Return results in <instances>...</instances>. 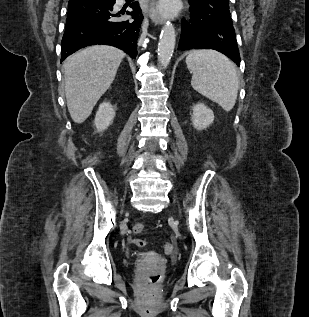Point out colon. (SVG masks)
<instances>
[{
	"instance_id": "5ec220e1",
	"label": "colon",
	"mask_w": 309,
	"mask_h": 317,
	"mask_svg": "<svg viewBox=\"0 0 309 317\" xmlns=\"http://www.w3.org/2000/svg\"><path fill=\"white\" fill-rule=\"evenodd\" d=\"M143 229H144V226L141 223H136L132 227V231L135 234L141 233L143 231ZM132 244L137 246V247H143L146 245V242L143 239L136 238V239L132 240ZM164 248L167 252H171L173 250V246L169 243H166Z\"/></svg>"
}]
</instances>
